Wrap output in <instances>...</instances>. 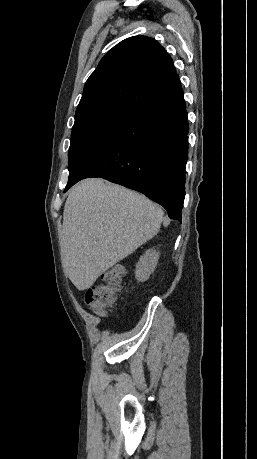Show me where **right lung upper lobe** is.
Here are the masks:
<instances>
[{
    "mask_svg": "<svg viewBox=\"0 0 257 459\" xmlns=\"http://www.w3.org/2000/svg\"><path fill=\"white\" fill-rule=\"evenodd\" d=\"M179 82L171 57L157 41L127 38L101 59L86 81L75 118L109 106L137 110Z\"/></svg>",
    "mask_w": 257,
    "mask_h": 459,
    "instance_id": "obj_1",
    "label": "right lung upper lobe"
}]
</instances>
